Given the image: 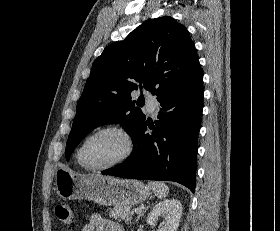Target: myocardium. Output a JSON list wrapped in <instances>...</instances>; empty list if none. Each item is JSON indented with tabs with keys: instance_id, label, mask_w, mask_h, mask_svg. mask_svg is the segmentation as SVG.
<instances>
[{
	"instance_id": "myocardium-1",
	"label": "myocardium",
	"mask_w": 280,
	"mask_h": 231,
	"mask_svg": "<svg viewBox=\"0 0 280 231\" xmlns=\"http://www.w3.org/2000/svg\"><path fill=\"white\" fill-rule=\"evenodd\" d=\"M104 132H116V133L120 134L123 137L124 142H125L124 152L119 158L110 162L107 165L100 166V167L90 166L89 164H87L85 162V160L83 158L84 149H85L86 145L88 144V142L93 137H95L101 133H104ZM132 151H133V141H132V138H131L129 132L124 127L119 126V125H107V126L101 127L98 130L92 132L84 139V141L82 142V144L80 145V148L78 150L77 160H78V163L80 164V166L82 168H84L85 170L103 171V170L109 169L111 167L117 166V165L125 162L131 156Z\"/></svg>"
}]
</instances>
